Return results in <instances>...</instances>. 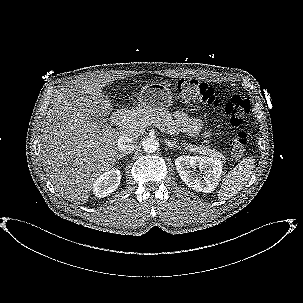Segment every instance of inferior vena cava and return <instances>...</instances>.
Listing matches in <instances>:
<instances>
[{
    "instance_id": "obj_1",
    "label": "inferior vena cava",
    "mask_w": 303,
    "mask_h": 303,
    "mask_svg": "<svg viewBox=\"0 0 303 303\" xmlns=\"http://www.w3.org/2000/svg\"><path fill=\"white\" fill-rule=\"evenodd\" d=\"M118 150L122 154L130 153L134 150V138L130 134L120 136L117 142Z\"/></svg>"
}]
</instances>
